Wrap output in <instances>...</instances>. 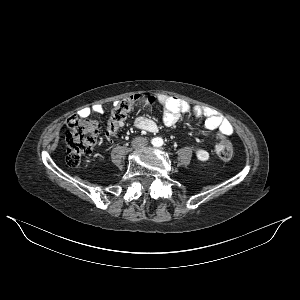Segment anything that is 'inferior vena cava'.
I'll list each match as a JSON object with an SVG mask.
<instances>
[{
    "label": "inferior vena cava",
    "mask_w": 300,
    "mask_h": 300,
    "mask_svg": "<svg viewBox=\"0 0 300 300\" xmlns=\"http://www.w3.org/2000/svg\"><path fill=\"white\" fill-rule=\"evenodd\" d=\"M147 143V139L143 137H136L132 142L134 147H145Z\"/></svg>",
    "instance_id": "602c4592"
}]
</instances>
